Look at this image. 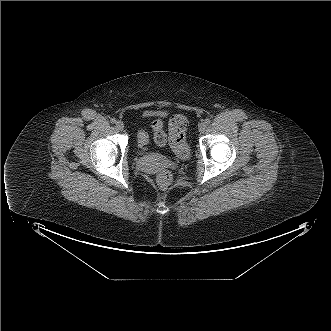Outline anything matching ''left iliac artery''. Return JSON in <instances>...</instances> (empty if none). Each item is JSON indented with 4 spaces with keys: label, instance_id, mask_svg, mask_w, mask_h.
I'll list each match as a JSON object with an SVG mask.
<instances>
[{
    "label": "left iliac artery",
    "instance_id": "obj_1",
    "mask_svg": "<svg viewBox=\"0 0 331 331\" xmlns=\"http://www.w3.org/2000/svg\"><path fill=\"white\" fill-rule=\"evenodd\" d=\"M210 122H211V120H210L209 118H206V119H205V124L208 125V124H210Z\"/></svg>",
    "mask_w": 331,
    "mask_h": 331
}]
</instances>
